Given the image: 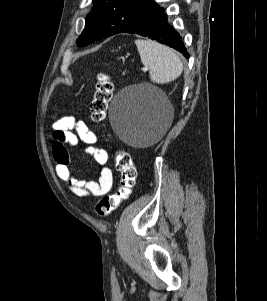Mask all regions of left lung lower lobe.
<instances>
[{
    "label": "left lung lower lobe",
    "instance_id": "left-lung-lower-lobe-1",
    "mask_svg": "<svg viewBox=\"0 0 267 301\" xmlns=\"http://www.w3.org/2000/svg\"><path fill=\"white\" fill-rule=\"evenodd\" d=\"M120 32L148 37L180 51L186 58L189 57L180 34L168 23L165 10L160 6H157L137 23L125 27Z\"/></svg>",
    "mask_w": 267,
    "mask_h": 301
}]
</instances>
